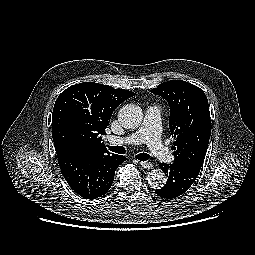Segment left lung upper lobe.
Here are the masks:
<instances>
[{
  "mask_svg": "<svg viewBox=\"0 0 255 255\" xmlns=\"http://www.w3.org/2000/svg\"><path fill=\"white\" fill-rule=\"evenodd\" d=\"M167 100L169 127L175 142L174 163L199 174L211 134L208 100L199 87L182 80L163 82L151 90Z\"/></svg>",
  "mask_w": 255,
  "mask_h": 255,
  "instance_id": "obj_1",
  "label": "left lung upper lobe"
}]
</instances>
